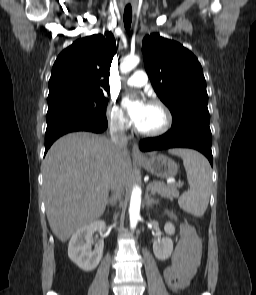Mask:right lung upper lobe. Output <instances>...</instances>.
Returning <instances> with one entry per match:
<instances>
[{
  "label": "right lung upper lobe",
  "mask_w": 256,
  "mask_h": 295,
  "mask_svg": "<svg viewBox=\"0 0 256 295\" xmlns=\"http://www.w3.org/2000/svg\"><path fill=\"white\" fill-rule=\"evenodd\" d=\"M75 41L57 57L49 80L48 101L69 94L99 95L109 92V70L116 43L111 32Z\"/></svg>",
  "instance_id": "cb5924a9"
}]
</instances>
